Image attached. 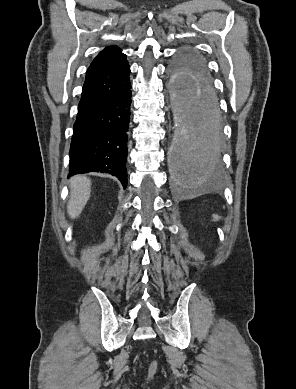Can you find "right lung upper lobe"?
Here are the masks:
<instances>
[{"mask_svg":"<svg viewBox=\"0 0 296 389\" xmlns=\"http://www.w3.org/2000/svg\"><path fill=\"white\" fill-rule=\"evenodd\" d=\"M130 66L117 46L101 51L89 66L78 107L119 93L130 84Z\"/></svg>","mask_w":296,"mask_h":389,"instance_id":"obj_1","label":"right lung upper lobe"}]
</instances>
